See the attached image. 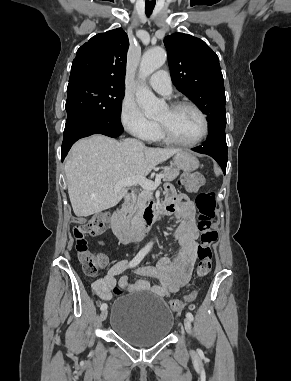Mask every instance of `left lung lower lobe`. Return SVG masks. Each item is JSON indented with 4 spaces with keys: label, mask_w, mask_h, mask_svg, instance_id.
<instances>
[{
    "label": "left lung lower lobe",
    "mask_w": 291,
    "mask_h": 381,
    "mask_svg": "<svg viewBox=\"0 0 291 381\" xmlns=\"http://www.w3.org/2000/svg\"><path fill=\"white\" fill-rule=\"evenodd\" d=\"M195 152L207 154L213 157L222 167L223 172L227 166V144L226 139L207 140L203 145L193 148Z\"/></svg>",
    "instance_id": "left-lung-lower-lobe-1"
}]
</instances>
